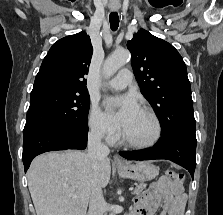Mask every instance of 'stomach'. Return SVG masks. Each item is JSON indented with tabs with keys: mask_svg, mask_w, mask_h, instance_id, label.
<instances>
[{
	"mask_svg": "<svg viewBox=\"0 0 223 215\" xmlns=\"http://www.w3.org/2000/svg\"><path fill=\"white\" fill-rule=\"evenodd\" d=\"M118 171L122 177L135 179V181H149V179H154L159 173L158 167L153 165L151 161H136V163L126 161V165L118 167Z\"/></svg>",
	"mask_w": 223,
	"mask_h": 215,
	"instance_id": "0dacf381",
	"label": "stomach"
}]
</instances>
